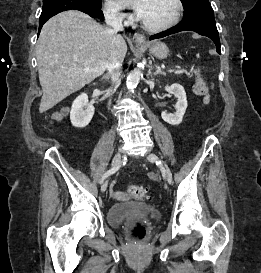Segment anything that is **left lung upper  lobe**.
<instances>
[{
  "label": "left lung upper lobe",
  "instance_id": "5c2ea615",
  "mask_svg": "<svg viewBox=\"0 0 261 273\" xmlns=\"http://www.w3.org/2000/svg\"><path fill=\"white\" fill-rule=\"evenodd\" d=\"M202 1H206V0H181L184 10L188 9L189 7L193 6L194 4H196L198 2H202Z\"/></svg>",
  "mask_w": 261,
  "mask_h": 273
}]
</instances>
